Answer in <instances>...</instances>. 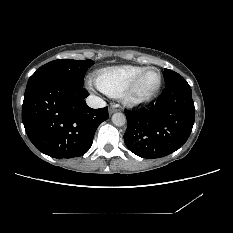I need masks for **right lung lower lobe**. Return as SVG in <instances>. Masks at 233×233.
Listing matches in <instances>:
<instances>
[{"label": "right lung lower lobe", "mask_w": 233, "mask_h": 233, "mask_svg": "<svg viewBox=\"0 0 233 233\" xmlns=\"http://www.w3.org/2000/svg\"><path fill=\"white\" fill-rule=\"evenodd\" d=\"M83 86L47 79L26 87L22 122L33 145L53 158L82 156L97 127L109 118L108 108L92 109Z\"/></svg>", "instance_id": "obj_1"}]
</instances>
